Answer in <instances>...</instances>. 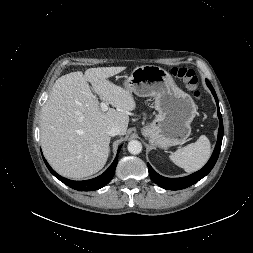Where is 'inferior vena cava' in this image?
Instances as JSON below:
<instances>
[{
    "mask_svg": "<svg viewBox=\"0 0 253 253\" xmlns=\"http://www.w3.org/2000/svg\"><path fill=\"white\" fill-rule=\"evenodd\" d=\"M121 133V130L118 126L116 125H113V126H110L108 129H107V134L109 136H116V135H120Z\"/></svg>",
    "mask_w": 253,
    "mask_h": 253,
    "instance_id": "602c4592",
    "label": "inferior vena cava"
}]
</instances>
